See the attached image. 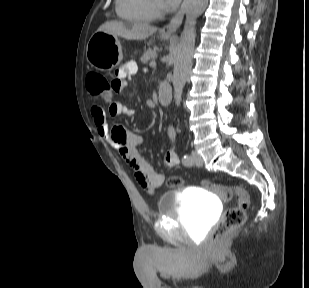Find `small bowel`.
<instances>
[{"label": "small bowel", "mask_w": 309, "mask_h": 288, "mask_svg": "<svg viewBox=\"0 0 309 288\" xmlns=\"http://www.w3.org/2000/svg\"><path fill=\"white\" fill-rule=\"evenodd\" d=\"M126 75L127 67H124L117 72V78L113 81L120 84L121 90L127 87ZM91 113L99 135L124 157L125 162L133 169L134 177L140 186L147 192L160 188L163 184V175L156 172L138 151L142 138L119 126L110 128L107 114L99 106L92 107ZM109 114L130 116L133 111L121 102H113L109 106ZM168 135L171 145L165 152L164 163L168 168H172L178 165L179 157L174 146L175 133L172 128L169 129Z\"/></svg>", "instance_id": "small-bowel-1"}]
</instances>
